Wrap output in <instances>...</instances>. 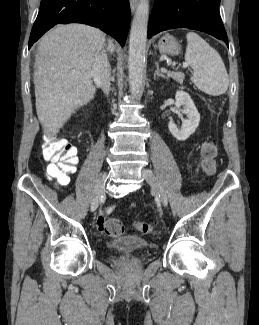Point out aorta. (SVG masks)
I'll return each instance as SVG.
<instances>
[{
	"instance_id": "aorta-1",
	"label": "aorta",
	"mask_w": 259,
	"mask_h": 325,
	"mask_svg": "<svg viewBox=\"0 0 259 325\" xmlns=\"http://www.w3.org/2000/svg\"><path fill=\"white\" fill-rule=\"evenodd\" d=\"M148 19L149 1L140 0L132 21L129 40L128 76L132 95L139 93L143 80Z\"/></svg>"
}]
</instances>
